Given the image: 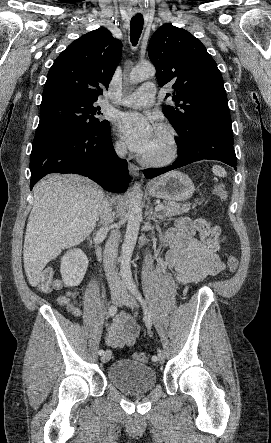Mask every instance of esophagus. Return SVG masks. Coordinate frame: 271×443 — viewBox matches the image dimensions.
I'll list each match as a JSON object with an SVG mask.
<instances>
[{"instance_id": "1", "label": "esophagus", "mask_w": 271, "mask_h": 443, "mask_svg": "<svg viewBox=\"0 0 271 443\" xmlns=\"http://www.w3.org/2000/svg\"><path fill=\"white\" fill-rule=\"evenodd\" d=\"M128 167H129L130 175L132 177L136 178L139 176L140 169L137 165H134V163H129Z\"/></svg>"}]
</instances>
